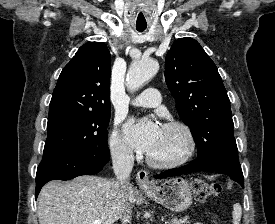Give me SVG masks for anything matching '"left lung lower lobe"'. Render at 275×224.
Masks as SVG:
<instances>
[{
	"mask_svg": "<svg viewBox=\"0 0 275 224\" xmlns=\"http://www.w3.org/2000/svg\"><path fill=\"white\" fill-rule=\"evenodd\" d=\"M196 171H215L220 174H226L234 181L239 183L242 187H244V177L242 173V169L240 165L231 166V165H223L219 167L207 166L205 162L194 161L188 165L183 167L174 168L166 170L160 173L157 178H166L172 176H180L185 173H191Z\"/></svg>",
	"mask_w": 275,
	"mask_h": 224,
	"instance_id": "1",
	"label": "left lung lower lobe"
}]
</instances>
